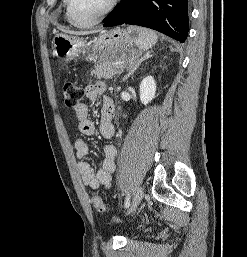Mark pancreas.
I'll return each mask as SVG.
<instances>
[{
    "label": "pancreas",
    "instance_id": "1",
    "mask_svg": "<svg viewBox=\"0 0 247 257\" xmlns=\"http://www.w3.org/2000/svg\"><path fill=\"white\" fill-rule=\"evenodd\" d=\"M118 73H121L119 66L110 62H101L91 70V75L97 79H112Z\"/></svg>",
    "mask_w": 247,
    "mask_h": 257
}]
</instances>
